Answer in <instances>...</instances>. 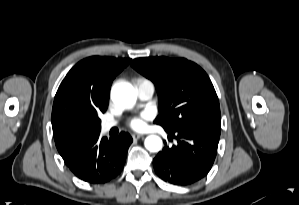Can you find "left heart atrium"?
<instances>
[{
  "label": "left heart atrium",
  "instance_id": "39dd6f15",
  "mask_svg": "<svg viewBox=\"0 0 299 205\" xmlns=\"http://www.w3.org/2000/svg\"><path fill=\"white\" fill-rule=\"evenodd\" d=\"M148 118L147 114L133 118L129 125L134 130H141L144 127V119Z\"/></svg>",
  "mask_w": 299,
  "mask_h": 205
}]
</instances>
